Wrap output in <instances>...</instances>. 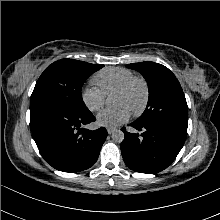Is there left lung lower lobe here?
<instances>
[{
    "mask_svg": "<svg viewBox=\"0 0 220 220\" xmlns=\"http://www.w3.org/2000/svg\"><path fill=\"white\" fill-rule=\"evenodd\" d=\"M131 126L142 134L129 133L122 128L125 138L121 153L126 165L133 171L154 174L166 169L176 158L186 140L187 133L165 123Z\"/></svg>",
    "mask_w": 220,
    "mask_h": 220,
    "instance_id": "1",
    "label": "left lung lower lobe"
}]
</instances>
